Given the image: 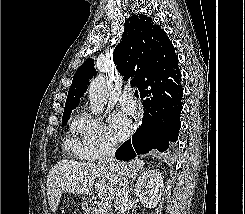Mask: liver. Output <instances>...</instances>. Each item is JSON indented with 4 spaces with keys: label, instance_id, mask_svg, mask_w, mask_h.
<instances>
[{
    "label": "liver",
    "instance_id": "obj_1",
    "mask_svg": "<svg viewBox=\"0 0 245 214\" xmlns=\"http://www.w3.org/2000/svg\"><path fill=\"white\" fill-rule=\"evenodd\" d=\"M129 178L137 176L145 161L135 159L124 164ZM118 176L99 164L62 159L49 171L47 176V197L50 209L56 212L62 192L87 195L95 185L99 196L115 200ZM96 181V183H95Z\"/></svg>",
    "mask_w": 245,
    "mask_h": 214
}]
</instances>
